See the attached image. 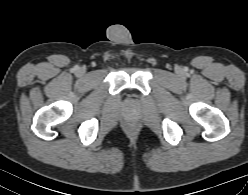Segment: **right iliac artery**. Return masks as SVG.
Wrapping results in <instances>:
<instances>
[{"mask_svg":"<svg viewBox=\"0 0 248 195\" xmlns=\"http://www.w3.org/2000/svg\"><path fill=\"white\" fill-rule=\"evenodd\" d=\"M79 70V67L78 66H75L74 68H73V71H78Z\"/></svg>","mask_w":248,"mask_h":195,"instance_id":"right-iliac-artery-1","label":"right iliac artery"}]
</instances>
